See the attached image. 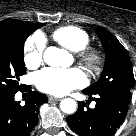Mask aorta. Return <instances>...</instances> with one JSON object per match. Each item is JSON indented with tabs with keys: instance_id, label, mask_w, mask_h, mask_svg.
Segmentation results:
<instances>
[{
	"instance_id": "obj_1",
	"label": "aorta",
	"mask_w": 136,
	"mask_h": 136,
	"mask_svg": "<svg viewBox=\"0 0 136 136\" xmlns=\"http://www.w3.org/2000/svg\"><path fill=\"white\" fill-rule=\"evenodd\" d=\"M44 62L50 66H64L71 63L72 58L65 50L57 47H48L43 54ZM60 108L64 113L72 114L76 111L77 104L71 98L63 99L60 103Z\"/></svg>"
}]
</instances>
